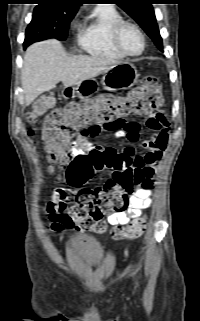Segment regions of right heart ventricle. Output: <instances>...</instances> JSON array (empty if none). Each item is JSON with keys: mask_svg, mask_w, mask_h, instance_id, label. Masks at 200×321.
I'll return each instance as SVG.
<instances>
[{"mask_svg": "<svg viewBox=\"0 0 200 321\" xmlns=\"http://www.w3.org/2000/svg\"><path fill=\"white\" fill-rule=\"evenodd\" d=\"M122 20L123 16L114 6H96L77 35L79 47L96 57L124 59L126 56L116 49L112 41L113 28Z\"/></svg>", "mask_w": 200, "mask_h": 321, "instance_id": "1", "label": "right heart ventricle"}]
</instances>
